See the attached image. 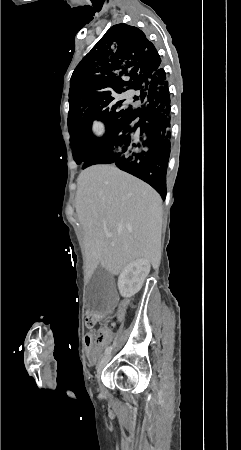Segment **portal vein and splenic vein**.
Returning a JSON list of instances; mask_svg holds the SVG:
<instances>
[{"label":"portal vein and splenic vein","mask_w":241,"mask_h":450,"mask_svg":"<svg viewBox=\"0 0 241 450\" xmlns=\"http://www.w3.org/2000/svg\"><path fill=\"white\" fill-rule=\"evenodd\" d=\"M107 238H112L113 234H111V232H109V234H106Z\"/></svg>","instance_id":"portal-vein-and-splenic-vein-1"}]
</instances>
